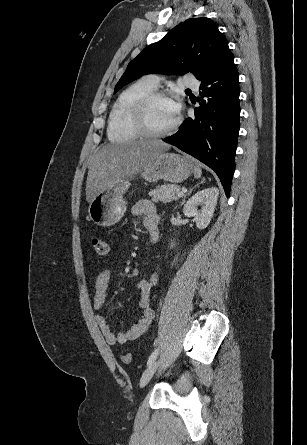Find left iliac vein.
I'll list each match as a JSON object with an SVG mask.
<instances>
[{
  "mask_svg": "<svg viewBox=\"0 0 307 445\" xmlns=\"http://www.w3.org/2000/svg\"><path fill=\"white\" fill-rule=\"evenodd\" d=\"M159 365L158 360H154L143 372L142 377L140 379V386L144 387L150 379L153 377L154 373L156 372Z\"/></svg>",
  "mask_w": 307,
  "mask_h": 445,
  "instance_id": "4c4485c4",
  "label": "left iliac vein"
}]
</instances>
